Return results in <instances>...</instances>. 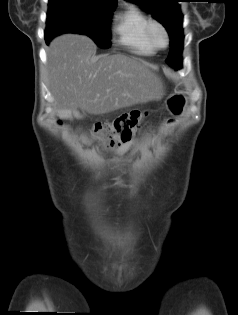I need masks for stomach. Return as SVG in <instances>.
Segmentation results:
<instances>
[{
	"label": "stomach",
	"instance_id": "obj_1",
	"mask_svg": "<svg viewBox=\"0 0 238 315\" xmlns=\"http://www.w3.org/2000/svg\"><path fill=\"white\" fill-rule=\"evenodd\" d=\"M185 91H176L175 94H168V98L164 103V108L167 112H172L173 116L183 115V105L185 104Z\"/></svg>",
	"mask_w": 238,
	"mask_h": 315
}]
</instances>
